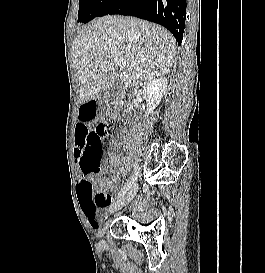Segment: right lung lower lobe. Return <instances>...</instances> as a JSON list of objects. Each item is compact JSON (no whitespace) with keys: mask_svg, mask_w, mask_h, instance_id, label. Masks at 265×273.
Listing matches in <instances>:
<instances>
[{"mask_svg":"<svg viewBox=\"0 0 265 273\" xmlns=\"http://www.w3.org/2000/svg\"><path fill=\"white\" fill-rule=\"evenodd\" d=\"M108 14L131 15L158 23L170 32L180 45L186 18V0H117Z\"/></svg>","mask_w":265,"mask_h":273,"instance_id":"1","label":"right lung lower lobe"}]
</instances>
